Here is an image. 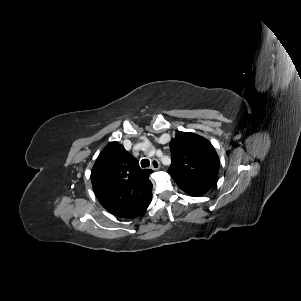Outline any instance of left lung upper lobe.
I'll return each instance as SVG.
<instances>
[{"label": "left lung upper lobe", "instance_id": "5c2ea615", "mask_svg": "<svg viewBox=\"0 0 301 301\" xmlns=\"http://www.w3.org/2000/svg\"><path fill=\"white\" fill-rule=\"evenodd\" d=\"M172 163L168 173L184 192L203 195L218 180L219 157L205 138L179 132L169 144Z\"/></svg>", "mask_w": 301, "mask_h": 301}]
</instances>
